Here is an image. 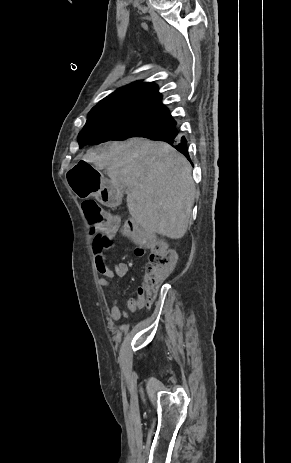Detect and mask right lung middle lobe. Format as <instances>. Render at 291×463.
I'll use <instances>...</instances> for the list:
<instances>
[{
  "label": "right lung middle lobe",
  "instance_id": "obj_1",
  "mask_svg": "<svg viewBox=\"0 0 291 463\" xmlns=\"http://www.w3.org/2000/svg\"><path fill=\"white\" fill-rule=\"evenodd\" d=\"M168 126V121L151 116L109 113L92 109L78 135V143L82 148L85 145L100 144L110 140L147 137Z\"/></svg>",
  "mask_w": 291,
  "mask_h": 463
}]
</instances>
